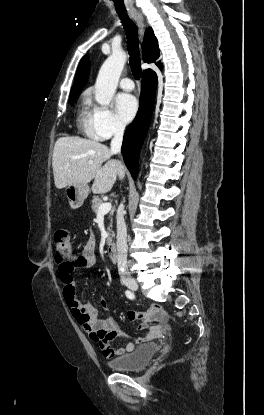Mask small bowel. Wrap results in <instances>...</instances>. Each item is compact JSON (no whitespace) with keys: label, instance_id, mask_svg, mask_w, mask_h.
<instances>
[{"label":"small bowel","instance_id":"c3829d8e","mask_svg":"<svg viewBox=\"0 0 264 415\" xmlns=\"http://www.w3.org/2000/svg\"><path fill=\"white\" fill-rule=\"evenodd\" d=\"M68 268L58 267V276L64 285L63 294L65 301L70 309L73 318L82 326L83 330L89 337L96 342L103 355L107 357H121L134 350L135 345L145 344L159 336L161 323L167 319V315L158 306L150 308L147 312L129 311L127 313V320L135 322L139 319L150 317L155 325L151 328L147 324L142 323L138 325V330L144 331L149 329V332L144 337H132L129 334L118 329L115 321L110 317H103L97 314L93 305L89 301H79L74 295L71 301L67 300L66 290L69 288L75 289L76 282L72 277V272L75 268H92L96 267V253H95V239L90 237L84 246L80 256L68 264ZM100 305L104 311L110 309L109 303L104 298L99 299ZM115 337L128 340L125 347L116 349L111 348V341Z\"/></svg>","mask_w":264,"mask_h":415}]
</instances>
